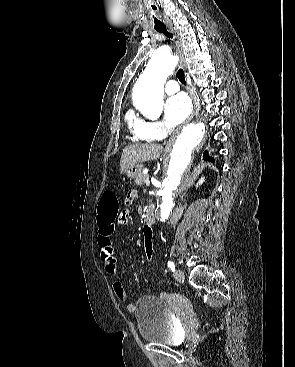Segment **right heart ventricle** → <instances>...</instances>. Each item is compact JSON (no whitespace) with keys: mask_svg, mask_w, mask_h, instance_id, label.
I'll return each instance as SVG.
<instances>
[{"mask_svg":"<svg viewBox=\"0 0 295 367\" xmlns=\"http://www.w3.org/2000/svg\"><path fill=\"white\" fill-rule=\"evenodd\" d=\"M125 121L136 141L148 142L153 140L147 132V122L139 117L133 110H128L126 112Z\"/></svg>","mask_w":295,"mask_h":367,"instance_id":"e07e8e85","label":"right heart ventricle"}]
</instances>
